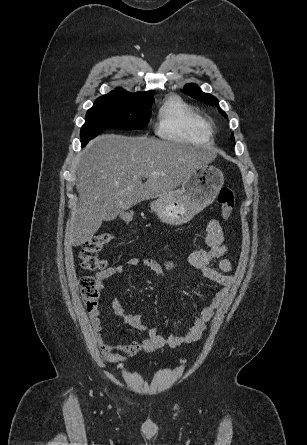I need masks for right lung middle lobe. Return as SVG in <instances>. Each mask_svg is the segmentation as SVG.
I'll return each instance as SVG.
<instances>
[{"instance_id": "dd1d6c3e", "label": "right lung middle lobe", "mask_w": 307, "mask_h": 445, "mask_svg": "<svg viewBox=\"0 0 307 445\" xmlns=\"http://www.w3.org/2000/svg\"><path fill=\"white\" fill-rule=\"evenodd\" d=\"M154 101V100H153ZM153 101H141L117 96H101L87 111L81 129V143L111 128L140 130L147 126Z\"/></svg>"}]
</instances>
